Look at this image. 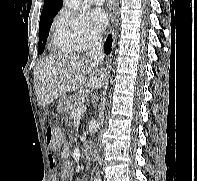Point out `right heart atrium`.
<instances>
[{
    "mask_svg": "<svg viewBox=\"0 0 197 181\" xmlns=\"http://www.w3.org/2000/svg\"><path fill=\"white\" fill-rule=\"evenodd\" d=\"M55 26L67 38L77 52H87L100 42V34L89 24L81 12L63 8L59 11Z\"/></svg>",
    "mask_w": 197,
    "mask_h": 181,
    "instance_id": "right-heart-atrium-1",
    "label": "right heart atrium"
}]
</instances>
